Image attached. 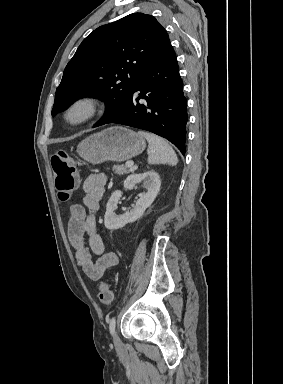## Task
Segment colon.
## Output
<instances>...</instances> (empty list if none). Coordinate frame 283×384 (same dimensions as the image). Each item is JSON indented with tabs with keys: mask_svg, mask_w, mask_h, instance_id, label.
I'll list each match as a JSON object with an SVG mask.
<instances>
[{
	"mask_svg": "<svg viewBox=\"0 0 283 384\" xmlns=\"http://www.w3.org/2000/svg\"><path fill=\"white\" fill-rule=\"evenodd\" d=\"M51 165L58 195L60 199L67 200L74 191L77 183L74 162L67 152L57 151L51 157ZM98 299L103 305H110L112 303L113 293L109 284H100Z\"/></svg>",
	"mask_w": 283,
	"mask_h": 384,
	"instance_id": "colon-1",
	"label": "colon"
}]
</instances>
